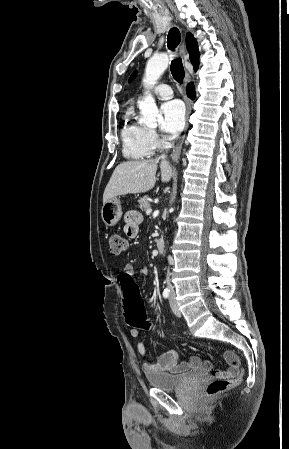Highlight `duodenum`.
<instances>
[{
  "mask_svg": "<svg viewBox=\"0 0 289 449\" xmlns=\"http://www.w3.org/2000/svg\"><path fill=\"white\" fill-rule=\"evenodd\" d=\"M156 247L157 250L159 251V253H163L164 249H165V242L162 238H157L156 239Z\"/></svg>",
  "mask_w": 289,
  "mask_h": 449,
  "instance_id": "410a0bca",
  "label": "duodenum"
}]
</instances>
